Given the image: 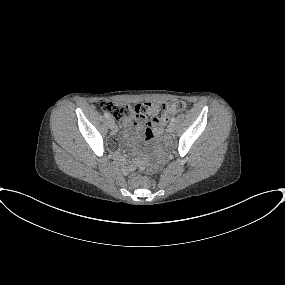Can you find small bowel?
<instances>
[{
  "mask_svg": "<svg viewBox=\"0 0 285 285\" xmlns=\"http://www.w3.org/2000/svg\"><path fill=\"white\" fill-rule=\"evenodd\" d=\"M133 132L136 136H141L143 132H145L148 136H152L154 133L159 132V125L155 122H146V123H132ZM121 136L125 139H131V136L126 132H121ZM116 146V142L114 139H109L107 142V149L114 150ZM135 180H132L134 183Z\"/></svg>",
  "mask_w": 285,
  "mask_h": 285,
  "instance_id": "obj_1",
  "label": "small bowel"
}]
</instances>
